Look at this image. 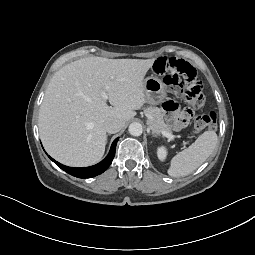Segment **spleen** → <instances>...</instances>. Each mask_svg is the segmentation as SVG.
<instances>
[{
  "label": "spleen",
  "mask_w": 255,
  "mask_h": 255,
  "mask_svg": "<svg viewBox=\"0 0 255 255\" xmlns=\"http://www.w3.org/2000/svg\"><path fill=\"white\" fill-rule=\"evenodd\" d=\"M217 142L215 131H205L192 145L171 159L168 174L171 177H182L192 173L212 154Z\"/></svg>",
  "instance_id": "spleen-1"
}]
</instances>
